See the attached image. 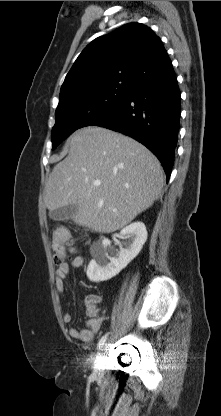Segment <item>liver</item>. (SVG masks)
I'll return each instance as SVG.
<instances>
[{"label": "liver", "mask_w": 221, "mask_h": 416, "mask_svg": "<svg viewBox=\"0 0 221 416\" xmlns=\"http://www.w3.org/2000/svg\"><path fill=\"white\" fill-rule=\"evenodd\" d=\"M69 147L68 156L53 168L45 184L43 199L48 210L77 205L72 217L76 224L110 233L159 198L164 184L162 166L133 138L88 126L71 136Z\"/></svg>", "instance_id": "1"}]
</instances>
